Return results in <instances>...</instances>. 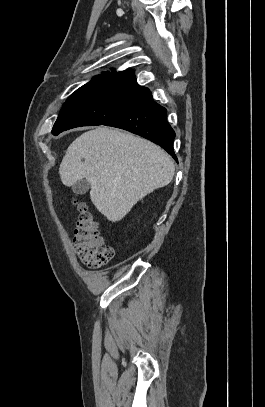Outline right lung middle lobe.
Segmentation results:
<instances>
[{
	"mask_svg": "<svg viewBox=\"0 0 265 407\" xmlns=\"http://www.w3.org/2000/svg\"><path fill=\"white\" fill-rule=\"evenodd\" d=\"M151 96L148 88L135 82L95 77L66 100L52 134L58 135L62 131L80 126L105 124Z\"/></svg>",
	"mask_w": 265,
	"mask_h": 407,
	"instance_id": "dd1d6c3e",
	"label": "right lung middle lobe"
}]
</instances>
